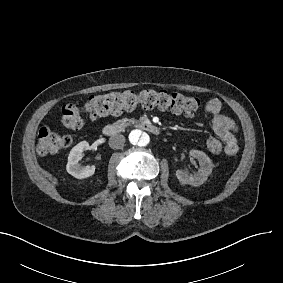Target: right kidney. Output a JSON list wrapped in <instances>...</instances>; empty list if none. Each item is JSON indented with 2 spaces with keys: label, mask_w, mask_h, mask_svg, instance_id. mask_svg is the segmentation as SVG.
Instances as JSON below:
<instances>
[{
  "label": "right kidney",
  "mask_w": 283,
  "mask_h": 283,
  "mask_svg": "<svg viewBox=\"0 0 283 283\" xmlns=\"http://www.w3.org/2000/svg\"><path fill=\"white\" fill-rule=\"evenodd\" d=\"M90 146L87 141H81L74 146L68 156L66 170L69 174L77 179L90 177L95 172V166H81L78 162L83 151L89 150Z\"/></svg>",
  "instance_id": "right-kidney-1"
}]
</instances>
